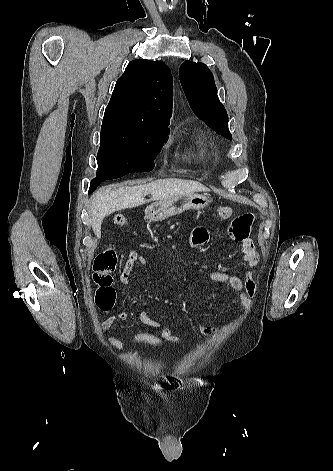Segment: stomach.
I'll list each match as a JSON object with an SVG mask.
<instances>
[{
    "mask_svg": "<svg viewBox=\"0 0 333 471\" xmlns=\"http://www.w3.org/2000/svg\"><path fill=\"white\" fill-rule=\"evenodd\" d=\"M210 200L202 194L181 195L165 201H157L145 210L150 221H162L171 216L179 215L187 210H201L208 206Z\"/></svg>",
    "mask_w": 333,
    "mask_h": 471,
    "instance_id": "0dacf381",
    "label": "stomach"
}]
</instances>
